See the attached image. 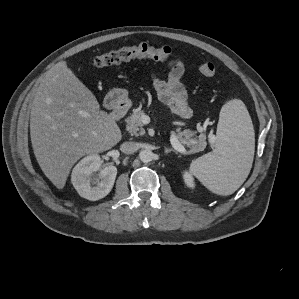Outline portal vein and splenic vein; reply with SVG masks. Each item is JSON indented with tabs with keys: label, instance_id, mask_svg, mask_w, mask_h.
<instances>
[{
	"label": "portal vein and splenic vein",
	"instance_id": "portal-vein-and-splenic-vein-1",
	"mask_svg": "<svg viewBox=\"0 0 299 299\" xmlns=\"http://www.w3.org/2000/svg\"><path fill=\"white\" fill-rule=\"evenodd\" d=\"M147 117V116H143ZM170 142L172 146L181 154H188L189 152L185 149V147L176 139L174 133L170 136Z\"/></svg>",
	"mask_w": 299,
	"mask_h": 299
}]
</instances>
